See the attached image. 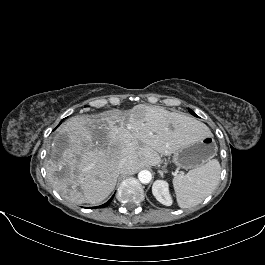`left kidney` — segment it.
<instances>
[{
  "label": "left kidney",
  "mask_w": 265,
  "mask_h": 265,
  "mask_svg": "<svg viewBox=\"0 0 265 265\" xmlns=\"http://www.w3.org/2000/svg\"><path fill=\"white\" fill-rule=\"evenodd\" d=\"M152 193L161 204L172 205V197L169 193L168 183L164 180H156L152 186Z\"/></svg>",
  "instance_id": "1"
}]
</instances>
